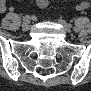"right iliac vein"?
Masks as SVG:
<instances>
[{
	"mask_svg": "<svg viewBox=\"0 0 91 91\" xmlns=\"http://www.w3.org/2000/svg\"><path fill=\"white\" fill-rule=\"evenodd\" d=\"M30 29V20H23L22 30L28 31Z\"/></svg>",
	"mask_w": 91,
	"mask_h": 91,
	"instance_id": "63e3f726",
	"label": "right iliac vein"
}]
</instances>
